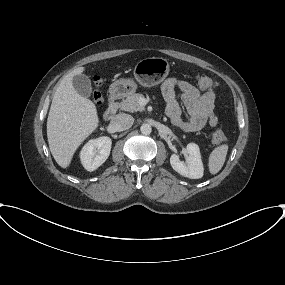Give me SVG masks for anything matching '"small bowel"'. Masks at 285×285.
Wrapping results in <instances>:
<instances>
[{
    "mask_svg": "<svg viewBox=\"0 0 285 285\" xmlns=\"http://www.w3.org/2000/svg\"><path fill=\"white\" fill-rule=\"evenodd\" d=\"M176 89L181 92L182 102L190 115L188 121L181 118V108L175 95ZM161 91L166 101V114L174 125L188 132L217 125L218 119L214 114L216 95L213 91L201 93L189 82L174 77L168 78L162 84Z\"/></svg>",
    "mask_w": 285,
    "mask_h": 285,
    "instance_id": "obj_1",
    "label": "small bowel"
}]
</instances>
